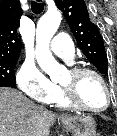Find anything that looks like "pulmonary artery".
Segmentation results:
<instances>
[{
    "mask_svg": "<svg viewBox=\"0 0 117 136\" xmlns=\"http://www.w3.org/2000/svg\"><path fill=\"white\" fill-rule=\"evenodd\" d=\"M51 51L57 56L72 60L74 57V45L70 37L65 33H58L50 44Z\"/></svg>",
    "mask_w": 117,
    "mask_h": 136,
    "instance_id": "e3ab8cb5",
    "label": "pulmonary artery"
}]
</instances>
